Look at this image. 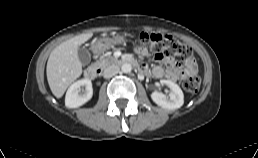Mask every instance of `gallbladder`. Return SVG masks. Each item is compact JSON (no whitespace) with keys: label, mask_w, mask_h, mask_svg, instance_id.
I'll return each instance as SVG.
<instances>
[{"label":"gallbladder","mask_w":258,"mask_h":158,"mask_svg":"<svg viewBox=\"0 0 258 158\" xmlns=\"http://www.w3.org/2000/svg\"><path fill=\"white\" fill-rule=\"evenodd\" d=\"M78 58H79L80 62L82 63V65H88L91 60V54L87 48L80 47L78 49Z\"/></svg>","instance_id":"gallbladder-1"}]
</instances>
